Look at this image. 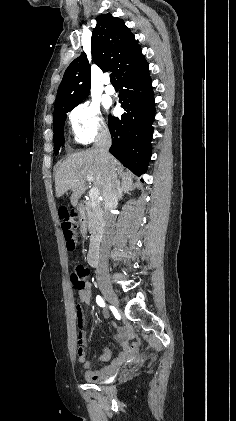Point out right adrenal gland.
Listing matches in <instances>:
<instances>
[{
    "label": "right adrenal gland",
    "instance_id": "obj_1",
    "mask_svg": "<svg viewBox=\"0 0 236 421\" xmlns=\"http://www.w3.org/2000/svg\"><path fill=\"white\" fill-rule=\"evenodd\" d=\"M133 188H136V184H123L122 188H120V192H118L119 198H122L124 196V192H128L130 194L129 190H133Z\"/></svg>",
    "mask_w": 236,
    "mask_h": 421
}]
</instances>
